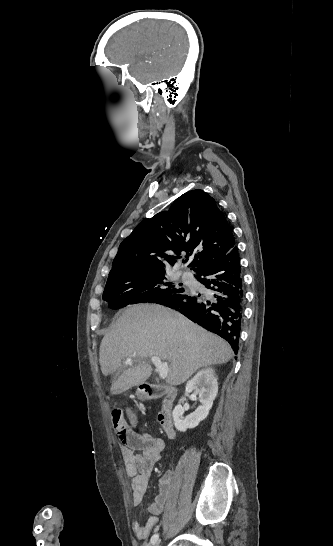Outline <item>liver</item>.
Here are the masks:
<instances>
[{
	"label": "liver",
	"mask_w": 333,
	"mask_h": 546,
	"mask_svg": "<svg viewBox=\"0 0 333 546\" xmlns=\"http://www.w3.org/2000/svg\"><path fill=\"white\" fill-rule=\"evenodd\" d=\"M152 356L169 362L166 382L180 385L200 368L227 363L232 349L223 339L169 308L130 306L100 345L99 360L105 376L118 370L125 358L136 357V364L112 383L111 393L120 394L143 384L152 373L148 360Z\"/></svg>",
	"instance_id": "obj_1"
}]
</instances>
